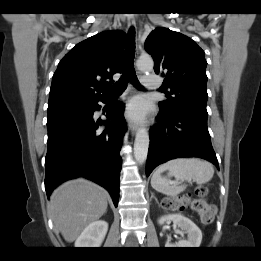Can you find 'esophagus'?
Instances as JSON below:
<instances>
[{
  "instance_id": "1",
  "label": "esophagus",
  "mask_w": 261,
  "mask_h": 261,
  "mask_svg": "<svg viewBox=\"0 0 261 261\" xmlns=\"http://www.w3.org/2000/svg\"><path fill=\"white\" fill-rule=\"evenodd\" d=\"M128 26L129 27H135L136 26V21H135L134 17L128 18ZM135 54L138 55V47H136ZM126 120H127V123H128V126H129L131 133L134 135L138 130V125L136 123H133L131 120H129L127 118V116H126Z\"/></svg>"
}]
</instances>
